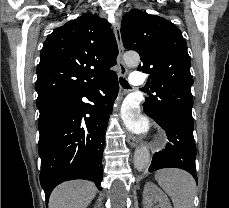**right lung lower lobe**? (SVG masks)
Here are the masks:
<instances>
[{
    "mask_svg": "<svg viewBox=\"0 0 229 208\" xmlns=\"http://www.w3.org/2000/svg\"><path fill=\"white\" fill-rule=\"evenodd\" d=\"M118 89L117 75L111 76L97 88L73 98L39 120L40 182L46 204L52 190L67 180H90L102 190L105 132ZM82 97L93 101L95 106L86 111ZM86 114L90 117L83 120Z\"/></svg>",
    "mask_w": 229,
    "mask_h": 208,
    "instance_id": "obj_1",
    "label": "right lung lower lobe"
}]
</instances>
